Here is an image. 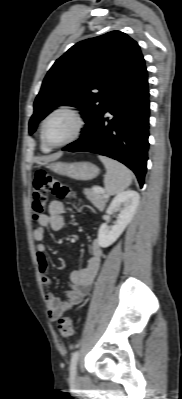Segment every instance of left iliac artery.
Wrapping results in <instances>:
<instances>
[{
	"label": "left iliac artery",
	"mask_w": 182,
	"mask_h": 399,
	"mask_svg": "<svg viewBox=\"0 0 182 399\" xmlns=\"http://www.w3.org/2000/svg\"><path fill=\"white\" fill-rule=\"evenodd\" d=\"M78 357H79V351H75L72 354L71 362H70V375L72 377H74L76 374V366H77V362H78Z\"/></svg>",
	"instance_id": "left-iliac-artery-1"
}]
</instances>
